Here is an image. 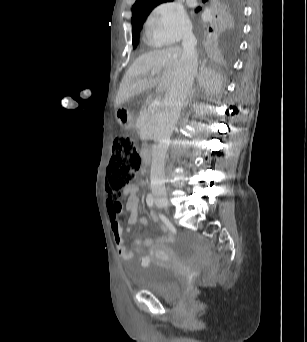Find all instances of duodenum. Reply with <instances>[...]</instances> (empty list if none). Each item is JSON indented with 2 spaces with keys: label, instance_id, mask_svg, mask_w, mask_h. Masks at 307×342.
Returning <instances> with one entry per match:
<instances>
[{
  "label": "duodenum",
  "instance_id": "obj_1",
  "mask_svg": "<svg viewBox=\"0 0 307 342\" xmlns=\"http://www.w3.org/2000/svg\"><path fill=\"white\" fill-rule=\"evenodd\" d=\"M141 157L143 160V164L148 167L150 165L151 162V152L149 149L147 148H142L141 149Z\"/></svg>",
  "mask_w": 307,
  "mask_h": 342
}]
</instances>
